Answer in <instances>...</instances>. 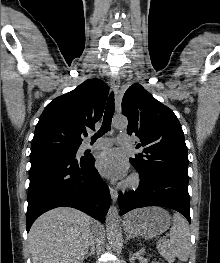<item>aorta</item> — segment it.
Wrapping results in <instances>:
<instances>
[{
    "label": "aorta",
    "instance_id": "obj_1",
    "mask_svg": "<svg viewBox=\"0 0 220 263\" xmlns=\"http://www.w3.org/2000/svg\"><path fill=\"white\" fill-rule=\"evenodd\" d=\"M113 126L118 129L126 128L128 121L124 116H117L113 119ZM106 230L108 239L114 244L119 230V213L116 206H111L106 217Z\"/></svg>",
    "mask_w": 220,
    "mask_h": 263
}]
</instances>
